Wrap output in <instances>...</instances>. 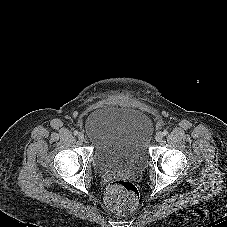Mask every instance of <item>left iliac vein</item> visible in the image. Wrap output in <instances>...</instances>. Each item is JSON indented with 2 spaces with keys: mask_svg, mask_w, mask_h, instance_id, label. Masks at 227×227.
I'll list each match as a JSON object with an SVG mask.
<instances>
[{
  "mask_svg": "<svg viewBox=\"0 0 227 227\" xmlns=\"http://www.w3.org/2000/svg\"><path fill=\"white\" fill-rule=\"evenodd\" d=\"M163 133L162 132H158V133H156V135H155V140L157 141V142H160L162 139H163Z\"/></svg>",
  "mask_w": 227,
  "mask_h": 227,
  "instance_id": "1",
  "label": "left iliac vein"
}]
</instances>
